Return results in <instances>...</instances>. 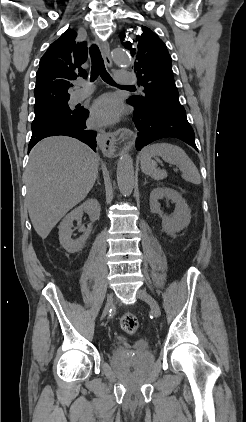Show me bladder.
Instances as JSON below:
<instances>
[{
    "label": "bladder",
    "instance_id": "bladder-1",
    "mask_svg": "<svg viewBox=\"0 0 246 422\" xmlns=\"http://www.w3.org/2000/svg\"><path fill=\"white\" fill-rule=\"evenodd\" d=\"M146 359H147L148 361H152V360H153V356H152L151 354H147V355H146Z\"/></svg>",
    "mask_w": 246,
    "mask_h": 422
}]
</instances>
